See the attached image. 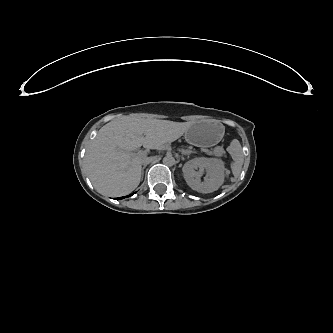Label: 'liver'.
<instances>
[{
    "label": "liver",
    "instance_id": "liver-1",
    "mask_svg": "<svg viewBox=\"0 0 333 333\" xmlns=\"http://www.w3.org/2000/svg\"><path fill=\"white\" fill-rule=\"evenodd\" d=\"M181 133H157L146 136L115 137L106 133L88 146L85 163L94 187L108 194H126L140 183L142 158L132 155L142 145L148 149L178 139Z\"/></svg>",
    "mask_w": 333,
    "mask_h": 333
}]
</instances>
